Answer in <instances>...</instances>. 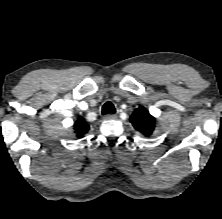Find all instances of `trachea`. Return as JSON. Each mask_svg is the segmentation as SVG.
Wrapping results in <instances>:
<instances>
[{
  "label": "trachea",
  "mask_w": 222,
  "mask_h": 219,
  "mask_svg": "<svg viewBox=\"0 0 222 219\" xmlns=\"http://www.w3.org/2000/svg\"><path fill=\"white\" fill-rule=\"evenodd\" d=\"M115 107L111 102H106L103 106H102V114H111V113H115Z\"/></svg>",
  "instance_id": "3493384b"
}]
</instances>
